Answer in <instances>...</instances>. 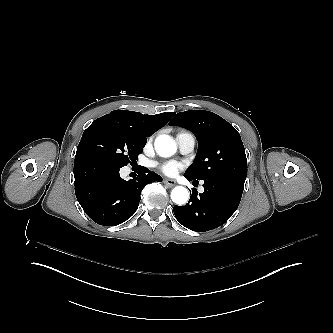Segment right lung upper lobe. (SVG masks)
Returning a JSON list of instances; mask_svg holds the SVG:
<instances>
[{
    "label": "right lung upper lobe",
    "mask_w": 333,
    "mask_h": 333,
    "mask_svg": "<svg viewBox=\"0 0 333 333\" xmlns=\"http://www.w3.org/2000/svg\"><path fill=\"white\" fill-rule=\"evenodd\" d=\"M175 112L161 113L157 115H143L139 112L115 110L94 121H107L114 123L133 135L147 140L154 132L162 128L174 116Z\"/></svg>",
    "instance_id": "obj_1"
}]
</instances>
